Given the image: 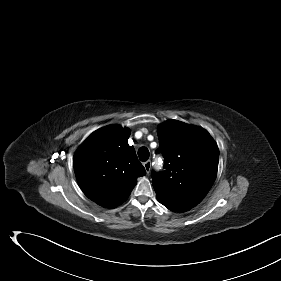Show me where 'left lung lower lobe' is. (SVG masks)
<instances>
[{
    "mask_svg": "<svg viewBox=\"0 0 281 281\" xmlns=\"http://www.w3.org/2000/svg\"><path fill=\"white\" fill-rule=\"evenodd\" d=\"M168 209L175 211V212H185L190 210L192 207L186 206L184 204H175L172 206H166Z\"/></svg>",
    "mask_w": 281,
    "mask_h": 281,
    "instance_id": "0a47b994",
    "label": "left lung lower lobe"
}]
</instances>
